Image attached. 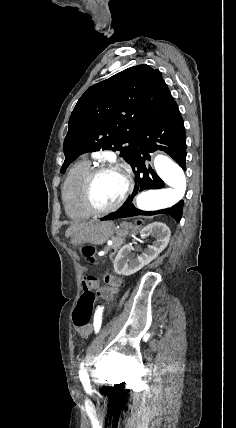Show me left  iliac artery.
I'll list each match as a JSON object with an SVG mask.
<instances>
[{"label": "left iliac artery", "instance_id": "obj_1", "mask_svg": "<svg viewBox=\"0 0 236 428\" xmlns=\"http://www.w3.org/2000/svg\"><path fill=\"white\" fill-rule=\"evenodd\" d=\"M104 307H100L98 306V309L95 312L94 315V330L95 333H98L101 327V323H102V312H103ZM80 371H79V377L80 378H84V377H88V374L86 372V369H84V363L82 362L80 365Z\"/></svg>", "mask_w": 236, "mask_h": 428}]
</instances>
